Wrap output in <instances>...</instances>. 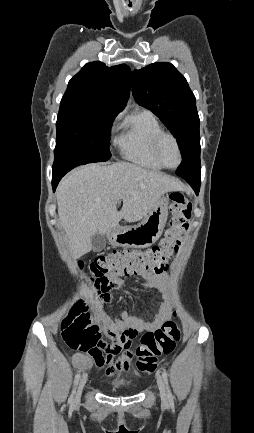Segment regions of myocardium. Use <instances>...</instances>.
Segmentation results:
<instances>
[{
    "label": "myocardium",
    "instance_id": "f54148a6",
    "mask_svg": "<svg viewBox=\"0 0 254 433\" xmlns=\"http://www.w3.org/2000/svg\"><path fill=\"white\" fill-rule=\"evenodd\" d=\"M165 137L170 138V139L174 142V144H175V146H176V149H177V152H178L179 161H178V163H177L175 166H173V167L167 166V165H166V164L161 160L160 155H159V145H160L161 140H162L163 138H165ZM151 151H152V155H153V157L155 158V160H156V161H157V162H158V163H159L163 168H165V169H169V170L176 169V168H178V167L180 166V164L182 163V158H183V157H182L181 147H180V144H179L177 138H176L172 133H169V132H166V131H160L159 133H157V134L154 136L153 140H152Z\"/></svg>",
    "mask_w": 254,
    "mask_h": 433
}]
</instances>
